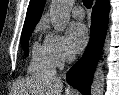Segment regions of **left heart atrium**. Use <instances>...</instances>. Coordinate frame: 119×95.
Segmentation results:
<instances>
[{"mask_svg":"<svg viewBox=\"0 0 119 95\" xmlns=\"http://www.w3.org/2000/svg\"><path fill=\"white\" fill-rule=\"evenodd\" d=\"M89 33L87 27L80 22L71 24L69 28V45L73 52L82 51L88 43Z\"/></svg>","mask_w":119,"mask_h":95,"instance_id":"39dd6f15","label":"left heart atrium"}]
</instances>
